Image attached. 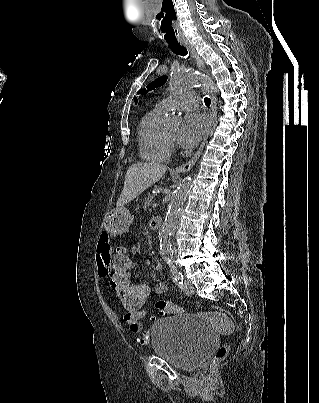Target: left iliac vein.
I'll return each instance as SVG.
<instances>
[{"label": "left iliac vein", "mask_w": 319, "mask_h": 403, "mask_svg": "<svg viewBox=\"0 0 319 403\" xmlns=\"http://www.w3.org/2000/svg\"><path fill=\"white\" fill-rule=\"evenodd\" d=\"M183 289L187 294H194L195 288L193 284L189 281H185L183 284Z\"/></svg>", "instance_id": "4c4485c4"}]
</instances>
